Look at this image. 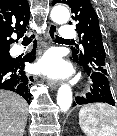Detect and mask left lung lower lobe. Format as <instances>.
I'll return each instance as SVG.
<instances>
[{
  "mask_svg": "<svg viewBox=\"0 0 117 136\" xmlns=\"http://www.w3.org/2000/svg\"><path fill=\"white\" fill-rule=\"evenodd\" d=\"M74 61L79 63L83 67L86 74L90 76L92 85L90 87L91 92L86 93L85 97H77L73 103V106L94 102H103L114 106L115 103L111 94L108 76L95 70L94 67L84 66L76 59H74Z\"/></svg>",
  "mask_w": 117,
  "mask_h": 136,
  "instance_id": "obj_1",
  "label": "left lung lower lobe"
}]
</instances>
